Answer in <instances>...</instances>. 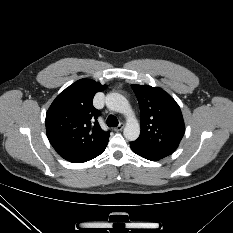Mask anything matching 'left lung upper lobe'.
Wrapping results in <instances>:
<instances>
[{"mask_svg": "<svg viewBox=\"0 0 233 233\" xmlns=\"http://www.w3.org/2000/svg\"><path fill=\"white\" fill-rule=\"evenodd\" d=\"M132 89L141 110V133L136 141L155 152L172 154L185 132L179 105L161 88L132 85Z\"/></svg>", "mask_w": 233, "mask_h": 233, "instance_id": "5c2ea615", "label": "left lung upper lobe"}]
</instances>
